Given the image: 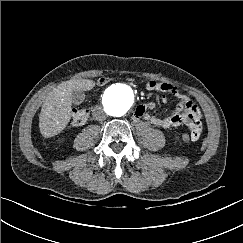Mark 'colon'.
I'll return each instance as SVG.
<instances>
[{"instance_id":"obj_1","label":"colon","mask_w":243,"mask_h":243,"mask_svg":"<svg viewBox=\"0 0 243 243\" xmlns=\"http://www.w3.org/2000/svg\"><path fill=\"white\" fill-rule=\"evenodd\" d=\"M107 81H108L107 78L102 77V78L99 79L98 82H99L100 85H103ZM89 113H90V111H89L88 108H77V109H74L73 112H72V116H71V123L73 125H76V126L84 124L87 121L88 117H89ZM182 139L184 141L189 142V141H192V136H191L190 133H184L182 135Z\"/></svg>"}]
</instances>
